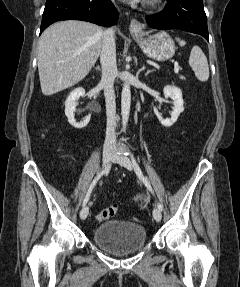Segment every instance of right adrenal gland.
<instances>
[{"label":"right adrenal gland","mask_w":240,"mask_h":287,"mask_svg":"<svg viewBox=\"0 0 240 287\" xmlns=\"http://www.w3.org/2000/svg\"><path fill=\"white\" fill-rule=\"evenodd\" d=\"M96 70L101 71L100 66H97V67H96Z\"/></svg>","instance_id":"2a0ac1e0"}]
</instances>
